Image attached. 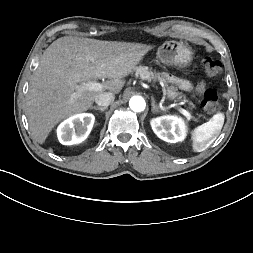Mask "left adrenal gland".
Listing matches in <instances>:
<instances>
[{
    "label": "left adrenal gland",
    "instance_id": "a2214340",
    "mask_svg": "<svg viewBox=\"0 0 253 253\" xmlns=\"http://www.w3.org/2000/svg\"><path fill=\"white\" fill-rule=\"evenodd\" d=\"M151 111H152L153 113L159 112V107L155 104L154 98H152V109H151Z\"/></svg>",
    "mask_w": 253,
    "mask_h": 253
}]
</instances>
